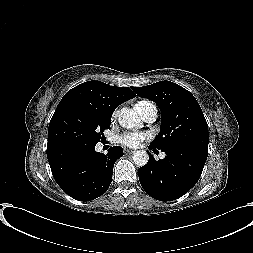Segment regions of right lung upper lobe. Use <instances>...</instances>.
Instances as JSON below:
<instances>
[{
	"instance_id": "cb5924a9",
	"label": "right lung upper lobe",
	"mask_w": 253,
	"mask_h": 253,
	"mask_svg": "<svg viewBox=\"0 0 253 253\" xmlns=\"http://www.w3.org/2000/svg\"><path fill=\"white\" fill-rule=\"evenodd\" d=\"M135 96L128 87H115L100 81H87L69 90L58 106L79 103L112 114L117 106Z\"/></svg>"
}]
</instances>
